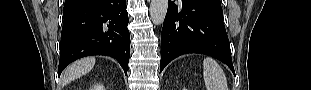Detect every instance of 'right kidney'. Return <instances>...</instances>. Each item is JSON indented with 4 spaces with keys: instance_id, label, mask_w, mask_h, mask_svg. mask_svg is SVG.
Listing matches in <instances>:
<instances>
[{
    "instance_id": "1",
    "label": "right kidney",
    "mask_w": 311,
    "mask_h": 90,
    "mask_svg": "<svg viewBox=\"0 0 311 90\" xmlns=\"http://www.w3.org/2000/svg\"><path fill=\"white\" fill-rule=\"evenodd\" d=\"M91 90H104L103 85H96Z\"/></svg>"
}]
</instances>
